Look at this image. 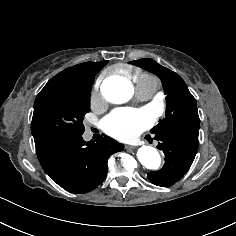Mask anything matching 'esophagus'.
<instances>
[{
    "label": "esophagus",
    "instance_id": "34e87169",
    "mask_svg": "<svg viewBox=\"0 0 236 236\" xmlns=\"http://www.w3.org/2000/svg\"><path fill=\"white\" fill-rule=\"evenodd\" d=\"M129 148H133V146H129Z\"/></svg>",
    "mask_w": 236,
    "mask_h": 236
}]
</instances>
